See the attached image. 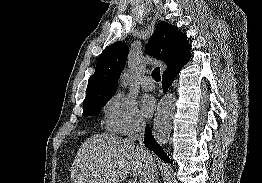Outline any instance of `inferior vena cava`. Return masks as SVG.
Here are the masks:
<instances>
[{"mask_svg": "<svg viewBox=\"0 0 262 183\" xmlns=\"http://www.w3.org/2000/svg\"><path fill=\"white\" fill-rule=\"evenodd\" d=\"M145 126L146 124L143 119H135L129 134V139L132 141L138 140L140 142V146L138 147L142 159L140 183H158L154 159L143 144Z\"/></svg>", "mask_w": 262, "mask_h": 183, "instance_id": "1", "label": "inferior vena cava"}]
</instances>
